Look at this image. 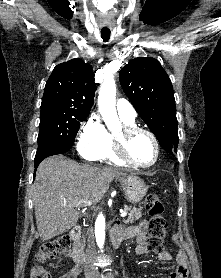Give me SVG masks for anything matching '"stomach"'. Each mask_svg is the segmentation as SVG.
Listing matches in <instances>:
<instances>
[{"label": "stomach", "mask_w": 221, "mask_h": 278, "mask_svg": "<svg viewBox=\"0 0 221 278\" xmlns=\"http://www.w3.org/2000/svg\"><path fill=\"white\" fill-rule=\"evenodd\" d=\"M118 181L123 187L126 198L131 203L140 202L147 193V186L144 181L137 176H121Z\"/></svg>", "instance_id": "0dacf381"}]
</instances>
